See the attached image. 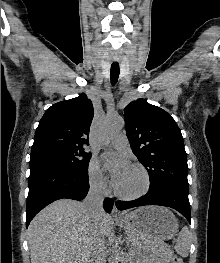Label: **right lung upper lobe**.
Masks as SVG:
<instances>
[{
    "label": "right lung upper lobe",
    "instance_id": "right-lung-upper-lobe-1",
    "mask_svg": "<svg viewBox=\"0 0 220 263\" xmlns=\"http://www.w3.org/2000/svg\"><path fill=\"white\" fill-rule=\"evenodd\" d=\"M93 116L92 102L85 94L52 105L39 122L31 153L52 148H83L88 145Z\"/></svg>",
    "mask_w": 220,
    "mask_h": 263
}]
</instances>
